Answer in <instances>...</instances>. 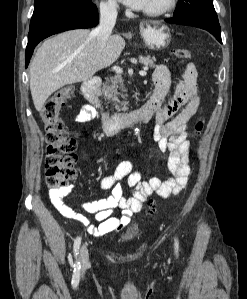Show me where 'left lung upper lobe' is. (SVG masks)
Wrapping results in <instances>:
<instances>
[{
  "label": "left lung upper lobe",
  "mask_w": 247,
  "mask_h": 299,
  "mask_svg": "<svg viewBox=\"0 0 247 299\" xmlns=\"http://www.w3.org/2000/svg\"><path fill=\"white\" fill-rule=\"evenodd\" d=\"M190 12H201L217 18L212 0H178L173 17L181 16Z\"/></svg>",
  "instance_id": "obj_1"
}]
</instances>
